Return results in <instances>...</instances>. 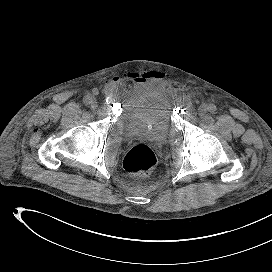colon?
Wrapping results in <instances>:
<instances>
[{"mask_svg": "<svg viewBox=\"0 0 272 272\" xmlns=\"http://www.w3.org/2000/svg\"><path fill=\"white\" fill-rule=\"evenodd\" d=\"M123 165L131 174L146 175L155 169L157 158L150 147L141 144L128 151Z\"/></svg>", "mask_w": 272, "mask_h": 272, "instance_id": "5ec220e1", "label": "colon"}]
</instances>
